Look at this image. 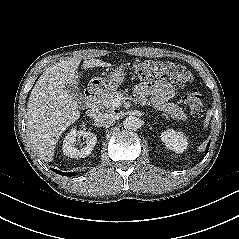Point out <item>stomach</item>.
<instances>
[{
	"instance_id": "stomach-1",
	"label": "stomach",
	"mask_w": 239,
	"mask_h": 239,
	"mask_svg": "<svg viewBox=\"0 0 239 239\" xmlns=\"http://www.w3.org/2000/svg\"><path fill=\"white\" fill-rule=\"evenodd\" d=\"M123 69L113 70L107 77H94L89 82V88L97 93H105L116 90L124 82Z\"/></svg>"
}]
</instances>
